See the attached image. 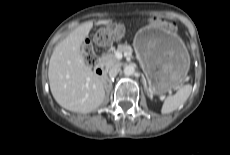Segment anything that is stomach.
Here are the masks:
<instances>
[{
	"label": "stomach",
	"mask_w": 230,
	"mask_h": 155,
	"mask_svg": "<svg viewBox=\"0 0 230 155\" xmlns=\"http://www.w3.org/2000/svg\"><path fill=\"white\" fill-rule=\"evenodd\" d=\"M133 47L154 95L167 94L186 78L190 58L178 35L146 26L136 33Z\"/></svg>",
	"instance_id": "1"
}]
</instances>
